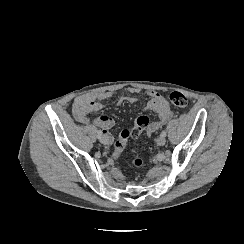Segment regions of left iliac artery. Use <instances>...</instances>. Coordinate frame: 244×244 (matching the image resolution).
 <instances>
[{
	"mask_svg": "<svg viewBox=\"0 0 244 244\" xmlns=\"http://www.w3.org/2000/svg\"><path fill=\"white\" fill-rule=\"evenodd\" d=\"M166 135H167L166 131H162L161 134H160V136H163V137H165Z\"/></svg>",
	"mask_w": 244,
	"mask_h": 244,
	"instance_id": "44dca946",
	"label": "left iliac artery"
}]
</instances>
